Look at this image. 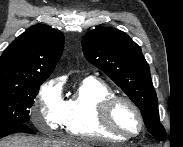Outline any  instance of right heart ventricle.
<instances>
[{
  "mask_svg": "<svg viewBox=\"0 0 183 147\" xmlns=\"http://www.w3.org/2000/svg\"><path fill=\"white\" fill-rule=\"evenodd\" d=\"M111 95L113 90L103 81L94 77L82 80L65 100L62 123L65 132L82 139L124 140L104 129L98 118L99 103Z\"/></svg>",
  "mask_w": 183,
  "mask_h": 147,
  "instance_id": "obj_1",
  "label": "right heart ventricle"
}]
</instances>
